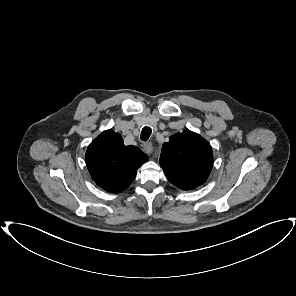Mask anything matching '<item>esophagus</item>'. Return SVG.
<instances>
[{
  "label": "esophagus",
  "instance_id": "obj_1",
  "mask_svg": "<svg viewBox=\"0 0 296 296\" xmlns=\"http://www.w3.org/2000/svg\"><path fill=\"white\" fill-rule=\"evenodd\" d=\"M143 150L145 151V153L150 154L153 150V146H152L151 142L144 143Z\"/></svg>",
  "mask_w": 296,
  "mask_h": 296
}]
</instances>
